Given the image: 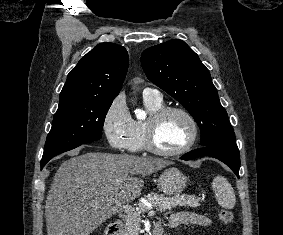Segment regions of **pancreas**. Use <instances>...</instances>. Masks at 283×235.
<instances>
[{
  "instance_id": "1",
  "label": "pancreas",
  "mask_w": 283,
  "mask_h": 235,
  "mask_svg": "<svg viewBox=\"0 0 283 235\" xmlns=\"http://www.w3.org/2000/svg\"><path fill=\"white\" fill-rule=\"evenodd\" d=\"M145 200L150 202L153 206L157 208L160 212H165L166 210H171L177 206L185 207H198L200 205V198L190 196V195H176L174 197H165L162 194H147L145 195ZM139 211L136 214L126 216L124 235H139L141 228V216L140 213L148 210V207L143 203H138Z\"/></svg>"
}]
</instances>
